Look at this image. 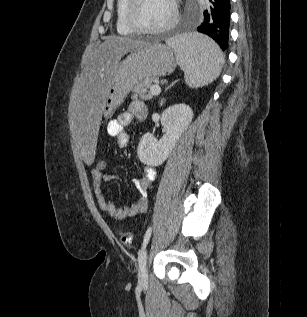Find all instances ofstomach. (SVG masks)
<instances>
[{
	"label": "stomach",
	"mask_w": 307,
	"mask_h": 317,
	"mask_svg": "<svg viewBox=\"0 0 307 317\" xmlns=\"http://www.w3.org/2000/svg\"><path fill=\"white\" fill-rule=\"evenodd\" d=\"M175 68L173 50L164 44H146L132 51L117 64L103 102L102 113L105 117L112 116L137 83L148 78L166 76Z\"/></svg>",
	"instance_id": "stomach-1"
}]
</instances>
